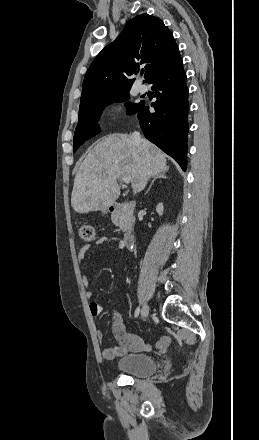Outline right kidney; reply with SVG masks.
Instances as JSON below:
<instances>
[{
  "label": "right kidney",
  "mask_w": 259,
  "mask_h": 440,
  "mask_svg": "<svg viewBox=\"0 0 259 440\" xmlns=\"http://www.w3.org/2000/svg\"><path fill=\"white\" fill-rule=\"evenodd\" d=\"M163 210H164L163 203H159V204L156 206V212H157L160 216H162V215H163Z\"/></svg>",
  "instance_id": "ca27d5eb"
}]
</instances>
